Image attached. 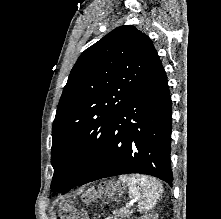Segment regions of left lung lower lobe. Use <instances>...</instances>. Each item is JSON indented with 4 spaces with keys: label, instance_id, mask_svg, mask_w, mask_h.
<instances>
[{
    "label": "left lung lower lobe",
    "instance_id": "obj_1",
    "mask_svg": "<svg viewBox=\"0 0 221 219\" xmlns=\"http://www.w3.org/2000/svg\"><path fill=\"white\" fill-rule=\"evenodd\" d=\"M172 107L167 77L157 55L134 96L116 117L95 162L76 185L139 173L172 184Z\"/></svg>",
    "mask_w": 221,
    "mask_h": 219
}]
</instances>
